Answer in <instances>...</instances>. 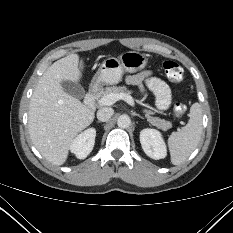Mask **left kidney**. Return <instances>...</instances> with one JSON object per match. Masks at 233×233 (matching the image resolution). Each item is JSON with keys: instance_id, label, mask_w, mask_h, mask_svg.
Instances as JSON below:
<instances>
[{"instance_id": "1", "label": "left kidney", "mask_w": 233, "mask_h": 233, "mask_svg": "<svg viewBox=\"0 0 233 233\" xmlns=\"http://www.w3.org/2000/svg\"><path fill=\"white\" fill-rule=\"evenodd\" d=\"M140 143L145 154L152 159L159 160L167 155L165 142L156 129H143L140 132Z\"/></svg>"}]
</instances>
